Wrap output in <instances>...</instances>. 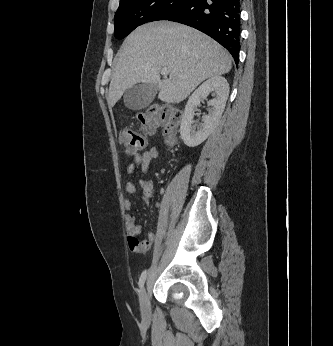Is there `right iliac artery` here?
Listing matches in <instances>:
<instances>
[{
  "label": "right iliac artery",
  "instance_id": "obj_1",
  "mask_svg": "<svg viewBox=\"0 0 333 346\" xmlns=\"http://www.w3.org/2000/svg\"><path fill=\"white\" fill-rule=\"evenodd\" d=\"M147 271H143L139 279V287L142 288L146 280Z\"/></svg>",
  "mask_w": 333,
  "mask_h": 346
}]
</instances>
